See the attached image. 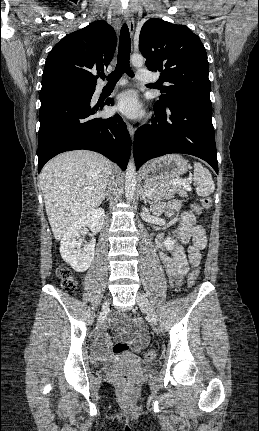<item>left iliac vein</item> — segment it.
<instances>
[{"instance_id": "obj_1", "label": "left iliac vein", "mask_w": 259, "mask_h": 431, "mask_svg": "<svg viewBox=\"0 0 259 431\" xmlns=\"http://www.w3.org/2000/svg\"><path fill=\"white\" fill-rule=\"evenodd\" d=\"M136 301L139 307L146 312L151 323L157 325L158 319L156 312L147 297L142 292H138L136 295Z\"/></svg>"}]
</instances>
